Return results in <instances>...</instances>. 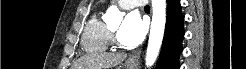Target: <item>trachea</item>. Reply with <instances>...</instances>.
<instances>
[{
  "label": "trachea",
  "instance_id": "3493384b",
  "mask_svg": "<svg viewBox=\"0 0 246 69\" xmlns=\"http://www.w3.org/2000/svg\"><path fill=\"white\" fill-rule=\"evenodd\" d=\"M145 8H146V9H149V6H148V5H146V6H145Z\"/></svg>",
  "mask_w": 246,
  "mask_h": 69
}]
</instances>
